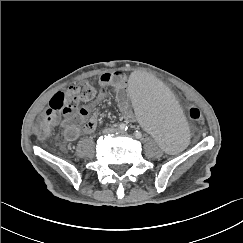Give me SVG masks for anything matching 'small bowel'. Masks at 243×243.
<instances>
[{"label":"small bowel","mask_w":243,"mask_h":243,"mask_svg":"<svg viewBox=\"0 0 243 243\" xmlns=\"http://www.w3.org/2000/svg\"><path fill=\"white\" fill-rule=\"evenodd\" d=\"M116 90L118 108L124 118L135 120L132 108L129 105V96L126 92V76L120 72L105 73L99 78L97 97L78 111L65 113L62 122V139L66 142L76 140L82 134L93 132L97 124V114L90 115V111L108 95V87Z\"/></svg>","instance_id":"small-bowel-1"}]
</instances>
